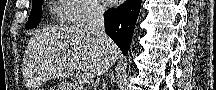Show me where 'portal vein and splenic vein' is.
I'll use <instances>...</instances> for the list:
<instances>
[{
  "label": "portal vein and splenic vein",
  "instance_id": "portal-vein-and-splenic-vein-1",
  "mask_svg": "<svg viewBox=\"0 0 216 90\" xmlns=\"http://www.w3.org/2000/svg\"><path fill=\"white\" fill-rule=\"evenodd\" d=\"M85 84H92L93 82V78L91 76V74H85V76H82Z\"/></svg>",
  "mask_w": 216,
  "mask_h": 90
}]
</instances>
